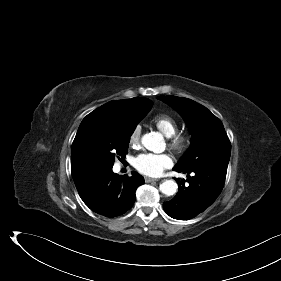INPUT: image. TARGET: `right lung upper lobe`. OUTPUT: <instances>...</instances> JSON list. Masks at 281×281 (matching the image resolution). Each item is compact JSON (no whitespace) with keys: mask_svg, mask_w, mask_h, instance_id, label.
<instances>
[{"mask_svg":"<svg viewBox=\"0 0 281 281\" xmlns=\"http://www.w3.org/2000/svg\"><path fill=\"white\" fill-rule=\"evenodd\" d=\"M152 101L146 98L110 101L88 114L81 122L71 150L73 178L91 170L83 156V146L96 127L124 125L143 113Z\"/></svg>","mask_w":281,"mask_h":281,"instance_id":"obj_1","label":"right lung upper lobe"}]
</instances>
